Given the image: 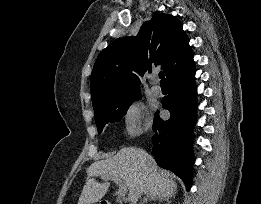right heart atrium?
Listing matches in <instances>:
<instances>
[{
    "mask_svg": "<svg viewBox=\"0 0 261 204\" xmlns=\"http://www.w3.org/2000/svg\"><path fill=\"white\" fill-rule=\"evenodd\" d=\"M148 128L144 106L139 101L130 102L123 112V131L128 139H133Z\"/></svg>",
    "mask_w": 261,
    "mask_h": 204,
    "instance_id": "obj_1",
    "label": "right heart atrium"
}]
</instances>
